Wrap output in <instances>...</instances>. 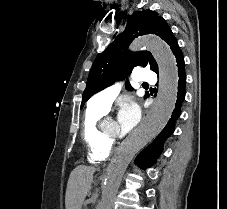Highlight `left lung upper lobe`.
Wrapping results in <instances>:
<instances>
[{"instance_id": "5c2ea615", "label": "left lung upper lobe", "mask_w": 227, "mask_h": 209, "mask_svg": "<svg viewBox=\"0 0 227 209\" xmlns=\"http://www.w3.org/2000/svg\"><path fill=\"white\" fill-rule=\"evenodd\" d=\"M145 34H155L165 40L175 55L179 47L177 40L167 22L157 12L144 10L129 15L124 31L96 58L88 76L81 109L92 95L125 78L135 66H150L151 70L158 73V65L149 51L128 50L134 38ZM125 86L127 90H133L128 82Z\"/></svg>"}]
</instances>
